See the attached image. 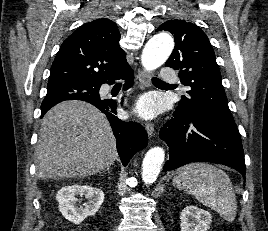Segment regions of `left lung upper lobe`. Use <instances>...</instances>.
<instances>
[{
	"label": "left lung upper lobe",
	"mask_w": 268,
	"mask_h": 231,
	"mask_svg": "<svg viewBox=\"0 0 268 231\" xmlns=\"http://www.w3.org/2000/svg\"><path fill=\"white\" fill-rule=\"evenodd\" d=\"M174 35L175 47L165 65L179 70L180 81L190 86L189 96H182L177 112L212 118L237 128L228 107L214 50L206 34L185 20H169L156 31Z\"/></svg>",
	"instance_id": "1"
}]
</instances>
